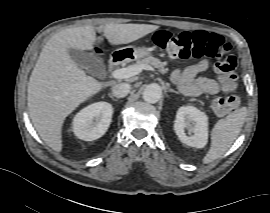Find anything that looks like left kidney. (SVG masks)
I'll return each instance as SVG.
<instances>
[{
  "mask_svg": "<svg viewBox=\"0 0 270 213\" xmlns=\"http://www.w3.org/2000/svg\"><path fill=\"white\" fill-rule=\"evenodd\" d=\"M191 123L194 125L192 127ZM188 130L189 135L185 133ZM174 130L180 141L188 146L203 148L208 141V117L193 106H182L176 113ZM193 132V135L190 133Z\"/></svg>",
  "mask_w": 270,
  "mask_h": 213,
  "instance_id": "1",
  "label": "left kidney"
}]
</instances>
